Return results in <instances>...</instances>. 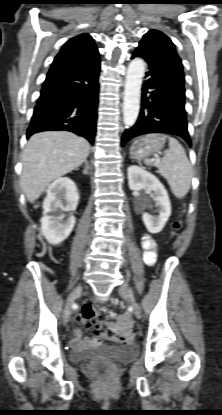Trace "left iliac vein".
Returning <instances> with one entry per match:
<instances>
[{
    "label": "left iliac vein",
    "instance_id": "obj_1",
    "mask_svg": "<svg viewBox=\"0 0 222 415\" xmlns=\"http://www.w3.org/2000/svg\"><path fill=\"white\" fill-rule=\"evenodd\" d=\"M118 293L119 295L125 299L126 301H128L131 306L133 307L134 313L136 316H141V306L140 304L133 299V297L129 294L128 290H127V286L123 285L121 287L118 288Z\"/></svg>",
    "mask_w": 222,
    "mask_h": 415
}]
</instances>
